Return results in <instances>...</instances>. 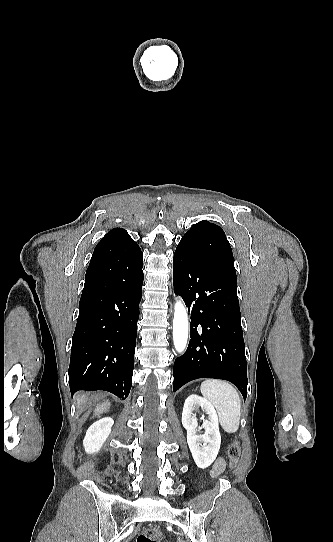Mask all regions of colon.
<instances>
[{
	"label": "colon",
	"mask_w": 333,
	"mask_h": 542,
	"mask_svg": "<svg viewBox=\"0 0 333 542\" xmlns=\"http://www.w3.org/2000/svg\"><path fill=\"white\" fill-rule=\"evenodd\" d=\"M240 455L241 446L238 442L233 443L227 448V458L231 467L237 465ZM136 542H162V535L157 528L150 527L137 536Z\"/></svg>",
	"instance_id": "colon-1"
}]
</instances>
